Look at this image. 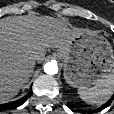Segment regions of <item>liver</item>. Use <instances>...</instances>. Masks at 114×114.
<instances>
[{
	"label": "liver",
	"instance_id": "1",
	"mask_svg": "<svg viewBox=\"0 0 114 114\" xmlns=\"http://www.w3.org/2000/svg\"><path fill=\"white\" fill-rule=\"evenodd\" d=\"M83 32L49 16L0 19V103L28 83L35 62L44 60L47 48L64 47Z\"/></svg>",
	"mask_w": 114,
	"mask_h": 114
}]
</instances>
